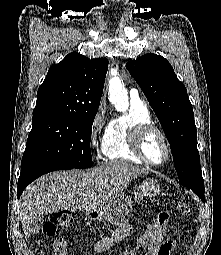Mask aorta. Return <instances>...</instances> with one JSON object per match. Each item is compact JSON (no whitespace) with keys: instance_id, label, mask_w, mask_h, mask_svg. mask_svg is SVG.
Returning <instances> with one entry per match:
<instances>
[{"instance_id":"1","label":"aorta","mask_w":221,"mask_h":255,"mask_svg":"<svg viewBox=\"0 0 221 255\" xmlns=\"http://www.w3.org/2000/svg\"><path fill=\"white\" fill-rule=\"evenodd\" d=\"M109 101L118 111H126L129 106L127 90L117 76L109 81Z\"/></svg>"}]
</instances>
